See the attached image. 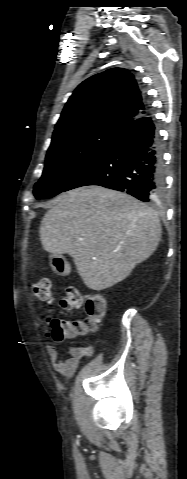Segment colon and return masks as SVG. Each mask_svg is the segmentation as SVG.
<instances>
[{"instance_id": "obj_1", "label": "colon", "mask_w": 187, "mask_h": 479, "mask_svg": "<svg viewBox=\"0 0 187 479\" xmlns=\"http://www.w3.org/2000/svg\"><path fill=\"white\" fill-rule=\"evenodd\" d=\"M31 294L38 300L51 302L53 292L51 281L48 278H41L30 285ZM61 306L66 311H75L84 308L86 316L75 320H57L47 318L51 326V338L63 340L77 336L87 335L97 330L99 322L104 318L107 310V303L102 293H91L84 297L80 291L73 286L66 287L63 291Z\"/></svg>"}]
</instances>
